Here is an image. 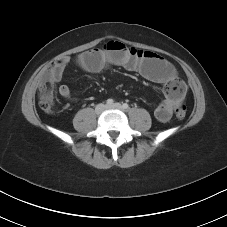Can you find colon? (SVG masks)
<instances>
[{
	"label": "colon",
	"instance_id": "1",
	"mask_svg": "<svg viewBox=\"0 0 227 227\" xmlns=\"http://www.w3.org/2000/svg\"><path fill=\"white\" fill-rule=\"evenodd\" d=\"M61 60H58L54 63L58 64ZM39 105L40 108L45 112H50L54 105V95H53V81L47 76L40 83L39 86ZM175 116L179 120H183L186 117V108L185 106H179L175 110Z\"/></svg>",
	"mask_w": 227,
	"mask_h": 227
}]
</instances>
